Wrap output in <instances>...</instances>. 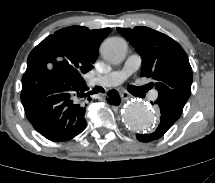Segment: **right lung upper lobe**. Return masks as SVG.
I'll return each instance as SVG.
<instances>
[{"mask_svg":"<svg viewBox=\"0 0 215 183\" xmlns=\"http://www.w3.org/2000/svg\"><path fill=\"white\" fill-rule=\"evenodd\" d=\"M109 33L110 28L89 30L82 26H72L48 36L32 51L38 52L46 72L64 66L62 51L67 49L83 52L86 58L94 63L98 56L99 46ZM48 64L53 65L51 70L47 68Z\"/></svg>","mask_w":215,"mask_h":183,"instance_id":"1","label":"right lung upper lobe"}]
</instances>
